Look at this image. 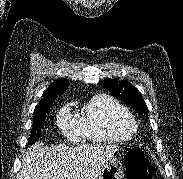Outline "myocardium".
Returning a JSON list of instances; mask_svg holds the SVG:
<instances>
[{
	"mask_svg": "<svg viewBox=\"0 0 183 179\" xmlns=\"http://www.w3.org/2000/svg\"><path fill=\"white\" fill-rule=\"evenodd\" d=\"M130 126L134 131L137 129L136 121L133 118L131 119Z\"/></svg>",
	"mask_w": 183,
	"mask_h": 179,
	"instance_id": "myocardium-1",
	"label": "myocardium"
}]
</instances>
